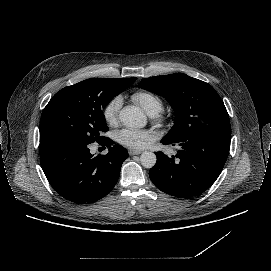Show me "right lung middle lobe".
Instances as JSON below:
<instances>
[{
  "label": "right lung middle lobe",
  "instance_id": "right-lung-middle-lobe-1",
  "mask_svg": "<svg viewBox=\"0 0 271 271\" xmlns=\"http://www.w3.org/2000/svg\"><path fill=\"white\" fill-rule=\"evenodd\" d=\"M132 84L129 80L92 78L63 88L42 112L40 141L71 138L86 143L101 142L104 139L101 134L108 131L102 109Z\"/></svg>",
  "mask_w": 271,
  "mask_h": 271
}]
</instances>
